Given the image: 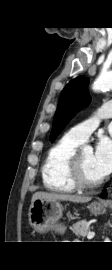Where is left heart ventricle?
Returning a JSON list of instances; mask_svg holds the SVG:
<instances>
[{
  "instance_id": "left-heart-ventricle-1",
  "label": "left heart ventricle",
  "mask_w": 112,
  "mask_h": 270,
  "mask_svg": "<svg viewBox=\"0 0 112 270\" xmlns=\"http://www.w3.org/2000/svg\"><path fill=\"white\" fill-rule=\"evenodd\" d=\"M80 167L84 180L88 182H95L101 179L100 175L95 169L92 152L80 153Z\"/></svg>"
}]
</instances>
